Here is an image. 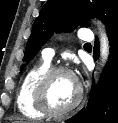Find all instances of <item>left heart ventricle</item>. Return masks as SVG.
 Listing matches in <instances>:
<instances>
[{
  "instance_id": "1",
  "label": "left heart ventricle",
  "mask_w": 118,
  "mask_h": 123,
  "mask_svg": "<svg viewBox=\"0 0 118 123\" xmlns=\"http://www.w3.org/2000/svg\"><path fill=\"white\" fill-rule=\"evenodd\" d=\"M77 95L75 80L67 73L56 75L49 88V101L55 108L62 109L73 102Z\"/></svg>"
}]
</instances>
